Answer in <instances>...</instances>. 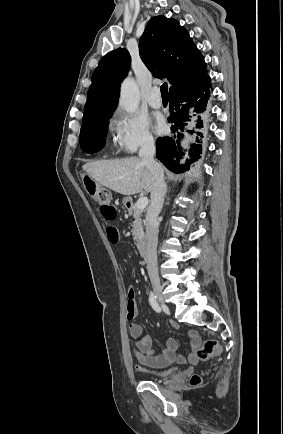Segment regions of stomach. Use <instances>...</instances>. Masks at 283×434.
<instances>
[{
  "label": "stomach",
  "mask_w": 283,
  "mask_h": 434,
  "mask_svg": "<svg viewBox=\"0 0 283 434\" xmlns=\"http://www.w3.org/2000/svg\"><path fill=\"white\" fill-rule=\"evenodd\" d=\"M130 201H131V198L126 197V198L123 199V204L126 206L127 203H129Z\"/></svg>",
  "instance_id": "obj_1"
}]
</instances>
